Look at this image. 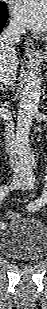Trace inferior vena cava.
I'll list each match as a JSON object with an SVG mask.
<instances>
[{"instance_id":"inferior-vena-cava-1","label":"inferior vena cava","mask_w":47,"mask_h":309,"mask_svg":"<svg viewBox=\"0 0 47 309\" xmlns=\"http://www.w3.org/2000/svg\"><path fill=\"white\" fill-rule=\"evenodd\" d=\"M25 29L17 23L10 24L0 35V82L3 87H13L16 81V70L12 62L17 59L15 46L19 43L21 35ZM2 116L6 125V146L12 163L18 160V151L13 134V122L11 113L7 109H2Z\"/></svg>"}]
</instances>
